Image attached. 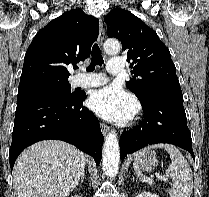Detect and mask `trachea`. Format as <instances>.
<instances>
[{
    "mask_svg": "<svg viewBox=\"0 0 209 197\" xmlns=\"http://www.w3.org/2000/svg\"><path fill=\"white\" fill-rule=\"evenodd\" d=\"M91 55H92L91 63L86 68V71L88 72H92L95 69L96 65L102 66L103 64V57L98 44L93 45Z\"/></svg>",
    "mask_w": 209,
    "mask_h": 197,
    "instance_id": "3493384b",
    "label": "trachea"
}]
</instances>
